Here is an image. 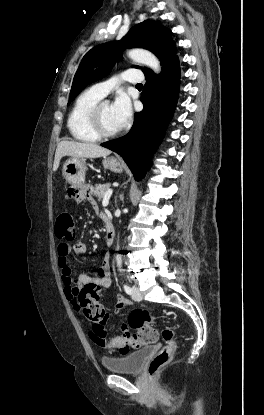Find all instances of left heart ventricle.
<instances>
[{"label": "left heart ventricle", "instance_id": "b2bd125f", "mask_svg": "<svg viewBox=\"0 0 264 415\" xmlns=\"http://www.w3.org/2000/svg\"><path fill=\"white\" fill-rule=\"evenodd\" d=\"M101 121L103 129L107 133H112L120 129L113 115L111 105L108 103H104L101 108Z\"/></svg>", "mask_w": 264, "mask_h": 415}]
</instances>
